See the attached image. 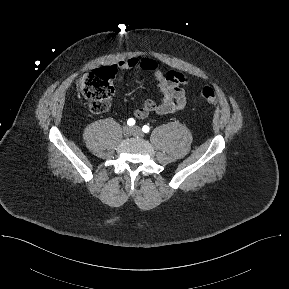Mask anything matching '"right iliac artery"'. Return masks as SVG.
I'll return each mask as SVG.
<instances>
[{"mask_svg": "<svg viewBox=\"0 0 289 289\" xmlns=\"http://www.w3.org/2000/svg\"><path fill=\"white\" fill-rule=\"evenodd\" d=\"M127 124L129 126H133L135 124V120L133 118H129L128 121H127Z\"/></svg>", "mask_w": 289, "mask_h": 289, "instance_id": "82829eb1", "label": "right iliac artery"}]
</instances>
